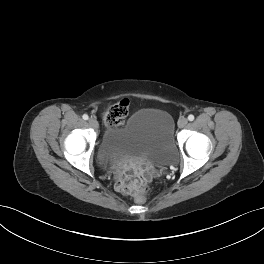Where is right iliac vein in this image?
I'll use <instances>...</instances> for the list:
<instances>
[{"label":"right iliac vein","mask_w":264,"mask_h":264,"mask_svg":"<svg viewBox=\"0 0 264 264\" xmlns=\"http://www.w3.org/2000/svg\"><path fill=\"white\" fill-rule=\"evenodd\" d=\"M88 122H89V124H90L93 128H95V129L98 128V122H97L94 118H90V119L88 120Z\"/></svg>","instance_id":"right-iliac-vein-1"}]
</instances>
